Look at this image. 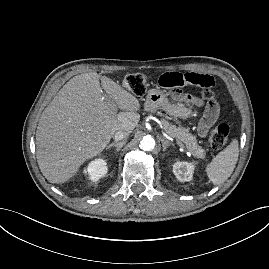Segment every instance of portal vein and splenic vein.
Returning a JSON list of instances; mask_svg holds the SVG:
<instances>
[{"label": "portal vein and splenic vein", "instance_id": "18ae733b", "mask_svg": "<svg viewBox=\"0 0 269 269\" xmlns=\"http://www.w3.org/2000/svg\"><path fill=\"white\" fill-rule=\"evenodd\" d=\"M106 100L108 101V104L110 105L112 112H116L117 108H116L115 104L113 103V101H111L109 98H106ZM166 138L170 139V137L168 135H166ZM176 143L180 147H182V148L184 147V145L178 139H176Z\"/></svg>", "mask_w": 269, "mask_h": 269}]
</instances>
